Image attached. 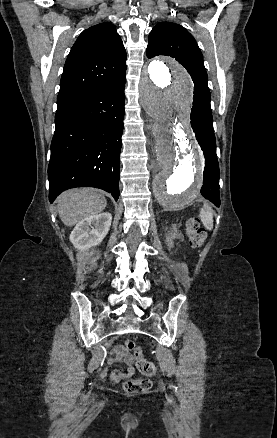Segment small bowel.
I'll return each mask as SVG.
<instances>
[{
    "label": "small bowel",
    "mask_w": 277,
    "mask_h": 438,
    "mask_svg": "<svg viewBox=\"0 0 277 438\" xmlns=\"http://www.w3.org/2000/svg\"><path fill=\"white\" fill-rule=\"evenodd\" d=\"M121 363L123 368L120 370H113L111 372V379L118 381L125 376L132 375L134 373L133 360L123 346H117L115 348V356L109 359V364Z\"/></svg>",
    "instance_id": "obj_1"
}]
</instances>
